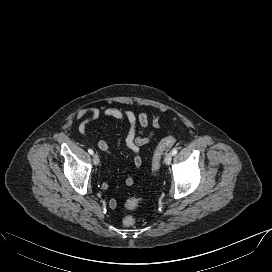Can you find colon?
I'll return each instance as SVG.
<instances>
[{"label":"colon","mask_w":272,"mask_h":272,"mask_svg":"<svg viewBox=\"0 0 272 272\" xmlns=\"http://www.w3.org/2000/svg\"><path fill=\"white\" fill-rule=\"evenodd\" d=\"M176 143L174 136H168L161 139L156 145L152 155V171L156 173L161 166L162 157L165 152ZM143 202L142 198H130L125 203V208L132 210ZM123 225L126 227H132L136 223V219L132 215H127L122 220Z\"/></svg>","instance_id":"obj_1"}]
</instances>
